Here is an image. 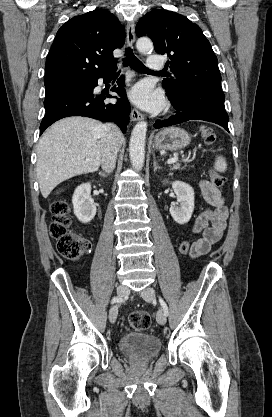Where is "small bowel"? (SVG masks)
<instances>
[{
    "mask_svg": "<svg viewBox=\"0 0 272 417\" xmlns=\"http://www.w3.org/2000/svg\"><path fill=\"white\" fill-rule=\"evenodd\" d=\"M199 189L209 207L198 214L193 221L192 233H202V236L194 241L190 250L192 257L207 254L211 247L220 241L228 218V209L221 192L207 180L199 182Z\"/></svg>",
    "mask_w": 272,
    "mask_h": 417,
    "instance_id": "obj_1",
    "label": "small bowel"
}]
</instances>
